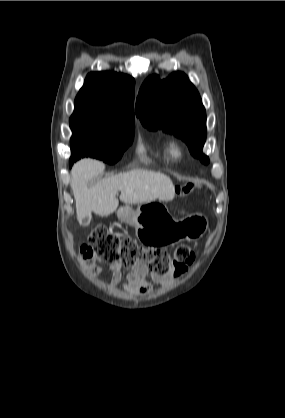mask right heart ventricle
Wrapping results in <instances>:
<instances>
[{
	"label": "right heart ventricle",
	"instance_id": "e07e8e85",
	"mask_svg": "<svg viewBox=\"0 0 285 418\" xmlns=\"http://www.w3.org/2000/svg\"><path fill=\"white\" fill-rule=\"evenodd\" d=\"M151 150H152L151 143L145 138H140L138 145H137V153L140 156H146ZM165 151L167 152L166 149Z\"/></svg>",
	"mask_w": 285,
	"mask_h": 418
}]
</instances>
